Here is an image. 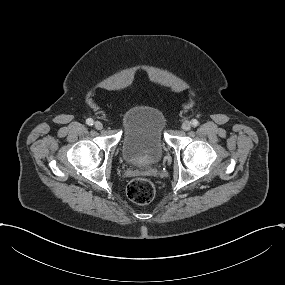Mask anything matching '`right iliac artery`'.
Here are the masks:
<instances>
[{"label":"right iliac artery","mask_w":285,"mask_h":285,"mask_svg":"<svg viewBox=\"0 0 285 285\" xmlns=\"http://www.w3.org/2000/svg\"><path fill=\"white\" fill-rule=\"evenodd\" d=\"M86 123H87L88 125H93V124H94V121H93V119L88 118V119L86 120Z\"/></svg>","instance_id":"82829eb1"}]
</instances>
